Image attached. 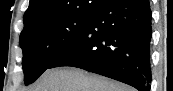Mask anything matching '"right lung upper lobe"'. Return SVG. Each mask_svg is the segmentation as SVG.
<instances>
[{
    "instance_id": "right-lung-upper-lobe-1",
    "label": "right lung upper lobe",
    "mask_w": 173,
    "mask_h": 91,
    "mask_svg": "<svg viewBox=\"0 0 173 91\" xmlns=\"http://www.w3.org/2000/svg\"><path fill=\"white\" fill-rule=\"evenodd\" d=\"M103 0H30L24 29L46 19L96 10Z\"/></svg>"
}]
</instances>
